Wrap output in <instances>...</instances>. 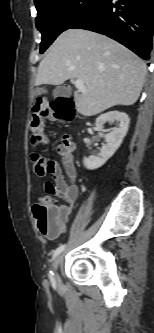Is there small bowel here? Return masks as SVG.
<instances>
[{"instance_id":"c3829d8e","label":"small bowel","mask_w":154,"mask_h":333,"mask_svg":"<svg viewBox=\"0 0 154 333\" xmlns=\"http://www.w3.org/2000/svg\"><path fill=\"white\" fill-rule=\"evenodd\" d=\"M75 144L68 136H65L57 147V153L62 158V165L48 159V173L53 179V183L46 182L44 189L48 194L56 195L67 202L62 206L67 213H71L79 195V188L76 184L77 170L74 162Z\"/></svg>"}]
</instances>
